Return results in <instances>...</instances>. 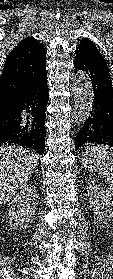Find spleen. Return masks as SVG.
Wrapping results in <instances>:
<instances>
[{"label":"spleen","instance_id":"1","mask_svg":"<svg viewBox=\"0 0 113 279\" xmlns=\"http://www.w3.org/2000/svg\"><path fill=\"white\" fill-rule=\"evenodd\" d=\"M81 161L90 172L105 177L113 192V147L91 145L82 152Z\"/></svg>","mask_w":113,"mask_h":279}]
</instances>
